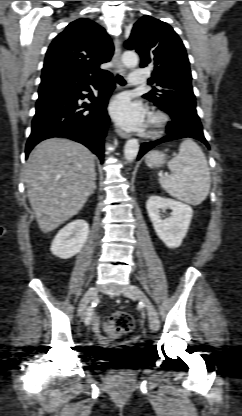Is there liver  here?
I'll return each mask as SVG.
<instances>
[{
	"label": "liver",
	"mask_w": 242,
	"mask_h": 416,
	"mask_svg": "<svg viewBox=\"0 0 242 416\" xmlns=\"http://www.w3.org/2000/svg\"><path fill=\"white\" fill-rule=\"evenodd\" d=\"M95 155L66 138H49L32 150L25 169L29 203L43 233L76 215L95 185Z\"/></svg>",
	"instance_id": "6515ba94"
}]
</instances>
